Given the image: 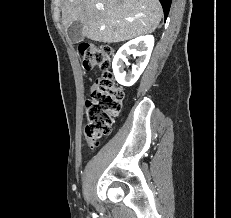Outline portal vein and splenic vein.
I'll return each mask as SVG.
<instances>
[{"label": "portal vein and splenic vein", "instance_id": "18ae733b", "mask_svg": "<svg viewBox=\"0 0 231 218\" xmlns=\"http://www.w3.org/2000/svg\"><path fill=\"white\" fill-rule=\"evenodd\" d=\"M97 8H98L99 10L103 9L102 6H97ZM127 21H131V20H130V19H127Z\"/></svg>", "mask_w": 231, "mask_h": 218}]
</instances>
